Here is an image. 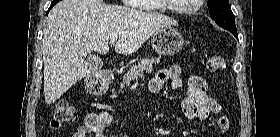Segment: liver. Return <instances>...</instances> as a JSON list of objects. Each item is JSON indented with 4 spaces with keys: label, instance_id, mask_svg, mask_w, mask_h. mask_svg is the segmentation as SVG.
<instances>
[{
    "label": "liver",
    "instance_id": "liver-1",
    "mask_svg": "<svg viewBox=\"0 0 280 137\" xmlns=\"http://www.w3.org/2000/svg\"><path fill=\"white\" fill-rule=\"evenodd\" d=\"M176 25L165 15L108 5L101 0H63L50 11L42 40L45 102L52 104L90 68L86 57L107 54L114 35L115 52H136L155 32Z\"/></svg>",
    "mask_w": 280,
    "mask_h": 137
}]
</instances>
